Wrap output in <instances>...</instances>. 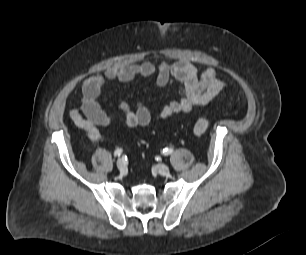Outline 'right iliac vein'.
<instances>
[{
  "mask_svg": "<svg viewBox=\"0 0 306 255\" xmlns=\"http://www.w3.org/2000/svg\"><path fill=\"white\" fill-rule=\"evenodd\" d=\"M117 168L120 170V172H124L126 170V163L123 159L117 160Z\"/></svg>",
  "mask_w": 306,
  "mask_h": 255,
  "instance_id": "obj_1",
  "label": "right iliac vein"
}]
</instances>
